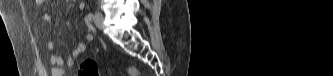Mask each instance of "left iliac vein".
Segmentation results:
<instances>
[{"label": "left iliac vein", "instance_id": "left-iliac-vein-1", "mask_svg": "<svg viewBox=\"0 0 333 76\" xmlns=\"http://www.w3.org/2000/svg\"><path fill=\"white\" fill-rule=\"evenodd\" d=\"M103 21H104V17L102 15V13L97 12L95 14V18H94V23L96 25V27H98L99 29L103 28Z\"/></svg>", "mask_w": 333, "mask_h": 76}]
</instances>
